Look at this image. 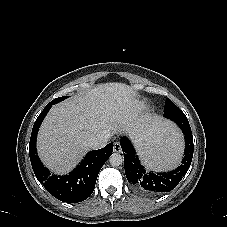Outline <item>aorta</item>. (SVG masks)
Wrapping results in <instances>:
<instances>
[{
	"mask_svg": "<svg viewBox=\"0 0 227 227\" xmlns=\"http://www.w3.org/2000/svg\"><path fill=\"white\" fill-rule=\"evenodd\" d=\"M109 162L114 167L120 166L123 163V157L119 153H113L109 157Z\"/></svg>",
	"mask_w": 227,
	"mask_h": 227,
	"instance_id": "762f6f07",
	"label": "aorta"
}]
</instances>
